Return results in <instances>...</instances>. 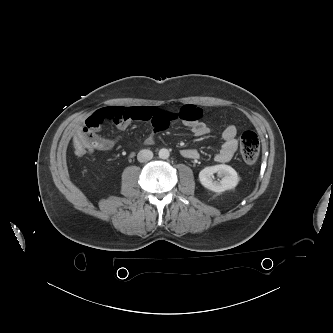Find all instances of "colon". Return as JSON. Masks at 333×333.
<instances>
[{
  "instance_id": "obj_1",
  "label": "colon",
  "mask_w": 333,
  "mask_h": 333,
  "mask_svg": "<svg viewBox=\"0 0 333 333\" xmlns=\"http://www.w3.org/2000/svg\"><path fill=\"white\" fill-rule=\"evenodd\" d=\"M73 146L77 155H83L86 152V146L82 139L75 137ZM240 151L245 162L254 163L260 152V141L257 134L251 130L244 131L240 138Z\"/></svg>"
}]
</instances>
